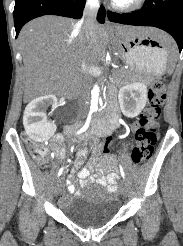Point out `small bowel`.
I'll return each instance as SVG.
<instances>
[{"instance_id":"1","label":"small bowel","mask_w":183,"mask_h":246,"mask_svg":"<svg viewBox=\"0 0 183 246\" xmlns=\"http://www.w3.org/2000/svg\"><path fill=\"white\" fill-rule=\"evenodd\" d=\"M113 129H114V126L108 123V124H102V125L95 126L94 132L98 136H107L112 132ZM63 142H64V139H63V136L61 135H56L52 139V142H51L53 149L61 157L64 156L65 154V151L63 148ZM94 152H95L94 159L89 164V166L86 168L80 169L82 163L86 159L87 151L85 148H82L78 151L77 161L74 163L71 169L69 178L72 179L73 174L77 171V176L79 180L76 182V184L78 186L83 187L86 185L97 183L102 186L108 187L110 191H114L116 188V182L118 179V173L114 166V157H104V161L108 164L110 171L107 175H102L98 171L99 166H100L99 151H94ZM68 191L70 193H73L75 191V186L68 185Z\"/></svg>"}]
</instances>
